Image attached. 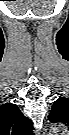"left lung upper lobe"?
Returning a JSON list of instances; mask_svg holds the SVG:
<instances>
[{
    "label": "left lung upper lobe",
    "instance_id": "obj_1",
    "mask_svg": "<svg viewBox=\"0 0 69 135\" xmlns=\"http://www.w3.org/2000/svg\"><path fill=\"white\" fill-rule=\"evenodd\" d=\"M69 117V100L66 98H59L52 106V110L48 116V120L52 123L63 122Z\"/></svg>",
    "mask_w": 69,
    "mask_h": 135
}]
</instances>
